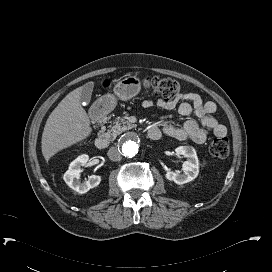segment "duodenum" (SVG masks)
Instances as JSON below:
<instances>
[{"label":"duodenum","mask_w":272,"mask_h":272,"mask_svg":"<svg viewBox=\"0 0 272 272\" xmlns=\"http://www.w3.org/2000/svg\"><path fill=\"white\" fill-rule=\"evenodd\" d=\"M108 104L106 102H101L95 105L89 111V118L93 123L99 124L105 120L107 114ZM147 136L151 140H159L162 136L161 130L152 125L148 131ZM109 137L107 135H100L95 141V145L98 149H105L109 146Z\"/></svg>","instance_id":"duodenum-1"}]
</instances>
